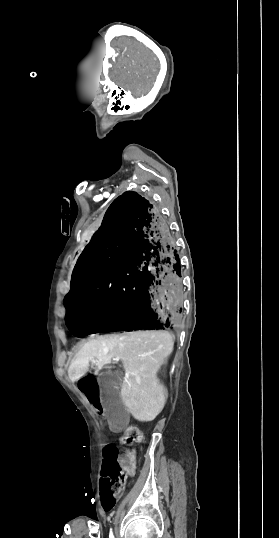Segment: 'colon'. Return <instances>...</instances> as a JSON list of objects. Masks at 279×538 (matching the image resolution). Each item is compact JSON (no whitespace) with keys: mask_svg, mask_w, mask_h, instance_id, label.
<instances>
[{"mask_svg":"<svg viewBox=\"0 0 279 538\" xmlns=\"http://www.w3.org/2000/svg\"><path fill=\"white\" fill-rule=\"evenodd\" d=\"M142 440L143 435L135 426L127 427L121 438L122 444L126 446L137 445ZM118 458L119 451L117 447L106 445L103 448L101 501L105 510L113 509L126 483L128 473L119 468Z\"/></svg>","mask_w":279,"mask_h":538,"instance_id":"1","label":"colon"}]
</instances>
